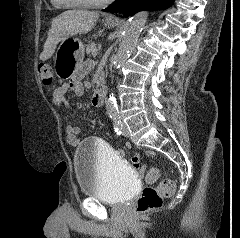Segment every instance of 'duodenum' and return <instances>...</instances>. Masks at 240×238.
Here are the masks:
<instances>
[{"label":"duodenum","instance_id":"duodenum-1","mask_svg":"<svg viewBox=\"0 0 240 238\" xmlns=\"http://www.w3.org/2000/svg\"><path fill=\"white\" fill-rule=\"evenodd\" d=\"M107 94V87L100 85L93 94L92 103L95 106H101L104 103Z\"/></svg>","mask_w":240,"mask_h":238}]
</instances>
